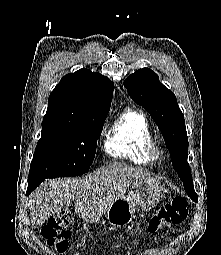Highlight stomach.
Segmentation results:
<instances>
[{
  "label": "stomach",
  "mask_w": 221,
  "mask_h": 255,
  "mask_svg": "<svg viewBox=\"0 0 221 255\" xmlns=\"http://www.w3.org/2000/svg\"><path fill=\"white\" fill-rule=\"evenodd\" d=\"M164 186L149 176L135 180L127 196L113 202L106 212V218L112 226L124 227L132 222L136 208L149 210L163 198Z\"/></svg>",
  "instance_id": "0dacf381"
}]
</instances>
